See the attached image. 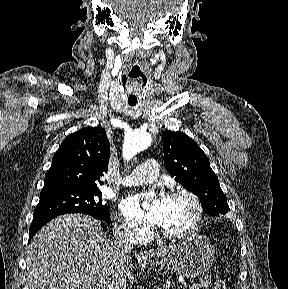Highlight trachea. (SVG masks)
<instances>
[{"label":"trachea","mask_w":288,"mask_h":289,"mask_svg":"<svg viewBox=\"0 0 288 289\" xmlns=\"http://www.w3.org/2000/svg\"><path fill=\"white\" fill-rule=\"evenodd\" d=\"M144 76L141 67L134 64L128 72V83L126 85V97L129 105H135L140 95V81Z\"/></svg>","instance_id":"1"}]
</instances>
